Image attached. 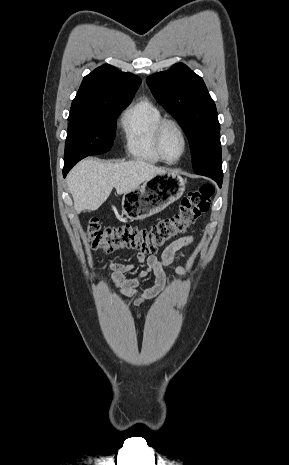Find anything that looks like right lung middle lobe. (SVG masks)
<instances>
[{"mask_svg": "<svg viewBox=\"0 0 289 465\" xmlns=\"http://www.w3.org/2000/svg\"><path fill=\"white\" fill-rule=\"evenodd\" d=\"M130 102L108 103L94 112L95 117L68 118L64 162L108 151L115 137V119Z\"/></svg>", "mask_w": 289, "mask_h": 465, "instance_id": "obj_1", "label": "right lung middle lobe"}]
</instances>
